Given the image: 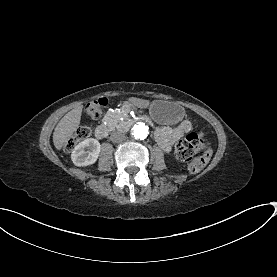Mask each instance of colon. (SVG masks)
<instances>
[{"instance_id": "obj_1", "label": "colon", "mask_w": 277, "mask_h": 277, "mask_svg": "<svg viewBox=\"0 0 277 277\" xmlns=\"http://www.w3.org/2000/svg\"><path fill=\"white\" fill-rule=\"evenodd\" d=\"M109 105V100L106 97H97L90 101L85 106V113L90 117H98L103 109ZM90 136V128L81 127L76 135L72 137L65 146L69 149L75 145V142L85 140ZM213 151L212 144L208 142L202 132L190 134L187 138L180 140L176 145V157L179 161L185 162L188 170L191 173H198L208 163ZM196 153H201L200 157H195Z\"/></svg>"}]
</instances>
